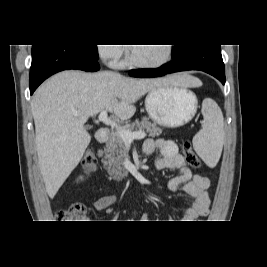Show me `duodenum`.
Here are the masks:
<instances>
[{"instance_id": "obj_1", "label": "duodenum", "mask_w": 267, "mask_h": 267, "mask_svg": "<svg viewBox=\"0 0 267 267\" xmlns=\"http://www.w3.org/2000/svg\"><path fill=\"white\" fill-rule=\"evenodd\" d=\"M110 137V131L108 129H100L97 132V141L99 143H105Z\"/></svg>"}]
</instances>
